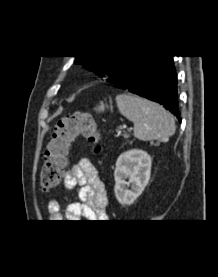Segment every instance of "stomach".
<instances>
[{
  "label": "stomach",
  "instance_id": "obj_1",
  "mask_svg": "<svg viewBox=\"0 0 218 277\" xmlns=\"http://www.w3.org/2000/svg\"><path fill=\"white\" fill-rule=\"evenodd\" d=\"M106 108H108V105H105L104 103H101L99 106H97L95 108V111L98 112V113L104 112Z\"/></svg>",
  "mask_w": 218,
  "mask_h": 277
}]
</instances>
